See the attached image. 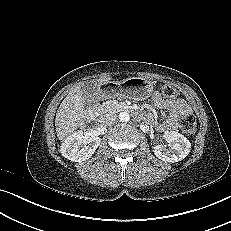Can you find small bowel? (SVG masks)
<instances>
[{
    "mask_svg": "<svg viewBox=\"0 0 231 231\" xmlns=\"http://www.w3.org/2000/svg\"><path fill=\"white\" fill-rule=\"evenodd\" d=\"M151 104L156 109L168 112V115L156 125V128L160 131L173 129L176 127L180 117L190 113V107L185 100L181 98L164 99L159 92H154ZM144 118L148 123H154V116L152 114H146Z\"/></svg>",
    "mask_w": 231,
    "mask_h": 231,
    "instance_id": "c3829d8e",
    "label": "small bowel"
}]
</instances>
